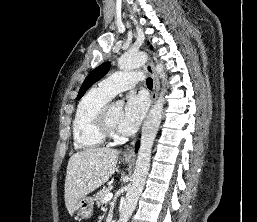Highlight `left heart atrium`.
I'll return each mask as SVG.
<instances>
[{"label": "left heart atrium", "mask_w": 257, "mask_h": 222, "mask_svg": "<svg viewBox=\"0 0 257 222\" xmlns=\"http://www.w3.org/2000/svg\"><path fill=\"white\" fill-rule=\"evenodd\" d=\"M148 108V101L143 95L131 94L126 101L118 129L123 134L133 133L140 125Z\"/></svg>", "instance_id": "obj_1"}]
</instances>
